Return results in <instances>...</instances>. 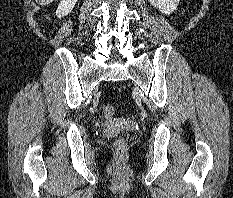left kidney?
<instances>
[{
  "instance_id": "left-kidney-1",
  "label": "left kidney",
  "mask_w": 233,
  "mask_h": 198,
  "mask_svg": "<svg viewBox=\"0 0 233 198\" xmlns=\"http://www.w3.org/2000/svg\"><path fill=\"white\" fill-rule=\"evenodd\" d=\"M151 5L159 9L162 13L169 15L178 6L180 0H149Z\"/></svg>"
}]
</instances>
